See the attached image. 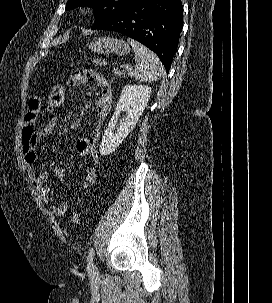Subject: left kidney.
Instances as JSON below:
<instances>
[{
    "mask_svg": "<svg viewBox=\"0 0 272 303\" xmlns=\"http://www.w3.org/2000/svg\"><path fill=\"white\" fill-rule=\"evenodd\" d=\"M151 91V87L146 85H126L122 89L116 110L101 141L99 149L101 155L111 154L128 136L147 106ZM121 112H125V116L120 120ZM118 122L119 126L114 134L113 129Z\"/></svg>",
    "mask_w": 272,
    "mask_h": 303,
    "instance_id": "obj_1",
    "label": "left kidney"
}]
</instances>
